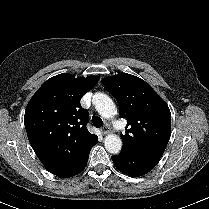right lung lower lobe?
Returning <instances> with one entry per match:
<instances>
[{"label":"right lung lower lobe","mask_w":209,"mask_h":209,"mask_svg":"<svg viewBox=\"0 0 209 209\" xmlns=\"http://www.w3.org/2000/svg\"><path fill=\"white\" fill-rule=\"evenodd\" d=\"M90 149L82 156V158L79 160V162L73 168H71L65 175H63L62 177H65V178L66 177H72L74 175L79 174L87 165Z\"/></svg>","instance_id":"obj_1"}]
</instances>
